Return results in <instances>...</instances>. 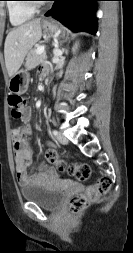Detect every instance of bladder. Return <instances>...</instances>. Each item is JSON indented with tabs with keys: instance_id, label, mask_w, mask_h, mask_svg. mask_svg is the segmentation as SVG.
<instances>
[{
	"instance_id": "bladder-1",
	"label": "bladder",
	"mask_w": 133,
	"mask_h": 253,
	"mask_svg": "<svg viewBox=\"0 0 133 253\" xmlns=\"http://www.w3.org/2000/svg\"><path fill=\"white\" fill-rule=\"evenodd\" d=\"M20 194L25 201L33 202L46 210L57 209L64 199V193L61 190L44 184L23 186Z\"/></svg>"
}]
</instances>
